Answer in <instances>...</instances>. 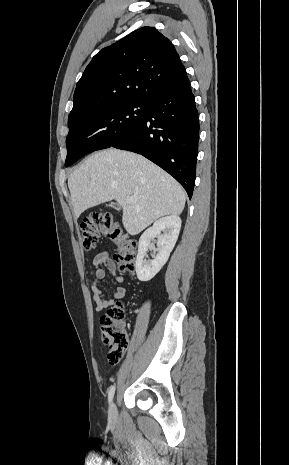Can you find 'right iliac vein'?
<instances>
[{
  "label": "right iliac vein",
  "mask_w": 289,
  "mask_h": 465,
  "mask_svg": "<svg viewBox=\"0 0 289 465\" xmlns=\"http://www.w3.org/2000/svg\"><path fill=\"white\" fill-rule=\"evenodd\" d=\"M117 418V409L115 403H112L109 408V420L114 422Z\"/></svg>",
  "instance_id": "right-iliac-vein-1"
}]
</instances>
